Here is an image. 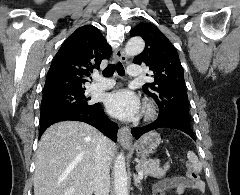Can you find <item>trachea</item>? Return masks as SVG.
Listing matches in <instances>:
<instances>
[{"label": "trachea", "mask_w": 240, "mask_h": 195, "mask_svg": "<svg viewBox=\"0 0 240 195\" xmlns=\"http://www.w3.org/2000/svg\"><path fill=\"white\" fill-rule=\"evenodd\" d=\"M115 71L121 76L124 75V73H125L124 67L120 62H118L116 64H109L105 68V70H103L102 73H103L104 77H112V75Z\"/></svg>", "instance_id": "trachea-1"}]
</instances>
